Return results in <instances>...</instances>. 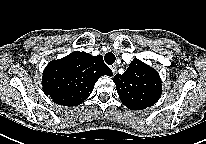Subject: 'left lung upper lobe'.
Here are the masks:
<instances>
[{
	"mask_svg": "<svg viewBox=\"0 0 206 144\" xmlns=\"http://www.w3.org/2000/svg\"><path fill=\"white\" fill-rule=\"evenodd\" d=\"M113 81L120 100L132 110H142L154 105L162 93L158 72L137 58L124 74H116Z\"/></svg>",
	"mask_w": 206,
	"mask_h": 144,
	"instance_id": "1",
	"label": "left lung upper lobe"
}]
</instances>
